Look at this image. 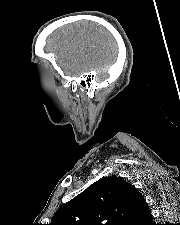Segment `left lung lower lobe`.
<instances>
[{
	"label": "left lung lower lobe",
	"instance_id": "left-lung-lower-lobe-1",
	"mask_svg": "<svg viewBox=\"0 0 180 225\" xmlns=\"http://www.w3.org/2000/svg\"><path fill=\"white\" fill-rule=\"evenodd\" d=\"M125 225H155L153 222L152 214L147 207L130 218Z\"/></svg>",
	"mask_w": 180,
	"mask_h": 225
}]
</instances>
